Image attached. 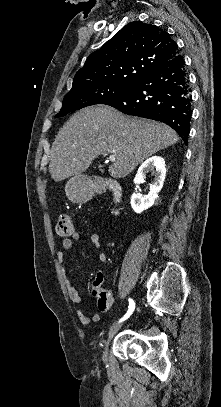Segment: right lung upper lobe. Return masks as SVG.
I'll return each instance as SVG.
<instances>
[{
	"mask_svg": "<svg viewBox=\"0 0 221 407\" xmlns=\"http://www.w3.org/2000/svg\"><path fill=\"white\" fill-rule=\"evenodd\" d=\"M177 51L178 45L167 31L142 21L131 22L89 55L70 91L97 84H137Z\"/></svg>",
	"mask_w": 221,
	"mask_h": 407,
	"instance_id": "1",
	"label": "right lung upper lobe"
}]
</instances>
